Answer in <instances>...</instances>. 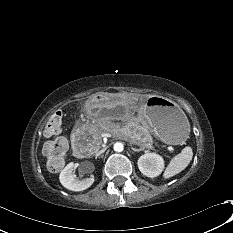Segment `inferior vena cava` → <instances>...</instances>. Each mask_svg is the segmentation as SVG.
Wrapping results in <instances>:
<instances>
[{"label":"inferior vena cava","instance_id":"1","mask_svg":"<svg viewBox=\"0 0 233 233\" xmlns=\"http://www.w3.org/2000/svg\"><path fill=\"white\" fill-rule=\"evenodd\" d=\"M103 152H104V149H102V150L98 151V152L96 153V156L101 155Z\"/></svg>","mask_w":233,"mask_h":233}]
</instances>
